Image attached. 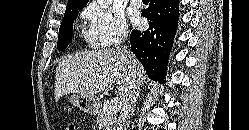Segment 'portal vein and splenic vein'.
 Returning <instances> with one entry per match:
<instances>
[{
  "mask_svg": "<svg viewBox=\"0 0 249 130\" xmlns=\"http://www.w3.org/2000/svg\"><path fill=\"white\" fill-rule=\"evenodd\" d=\"M119 108H120V106H119L118 98L111 100V102L109 104V112L116 114L117 111L119 110Z\"/></svg>",
  "mask_w": 249,
  "mask_h": 130,
  "instance_id": "1",
  "label": "portal vein and splenic vein"
}]
</instances>
